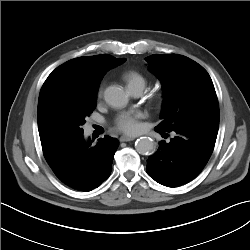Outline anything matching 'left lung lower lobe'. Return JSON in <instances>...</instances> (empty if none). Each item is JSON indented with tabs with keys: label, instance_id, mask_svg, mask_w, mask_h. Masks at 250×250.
<instances>
[{
	"label": "left lung lower lobe",
	"instance_id": "0a47b994",
	"mask_svg": "<svg viewBox=\"0 0 250 250\" xmlns=\"http://www.w3.org/2000/svg\"><path fill=\"white\" fill-rule=\"evenodd\" d=\"M218 128L219 123H207L176 130V136L168 143L161 141L158 150L147 160L148 175L168 187L193 180L213 152Z\"/></svg>",
	"mask_w": 250,
	"mask_h": 250
}]
</instances>
